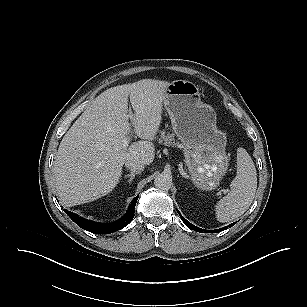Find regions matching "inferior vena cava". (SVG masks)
Here are the masks:
<instances>
[{
  "label": "inferior vena cava",
  "mask_w": 307,
  "mask_h": 307,
  "mask_svg": "<svg viewBox=\"0 0 307 307\" xmlns=\"http://www.w3.org/2000/svg\"><path fill=\"white\" fill-rule=\"evenodd\" d=\"M125 166L131 171L140 173L144 169V163L140 160L130 158L125 161Z\"/></svg>",
  "instance_id": "1"
}]
</instances>
